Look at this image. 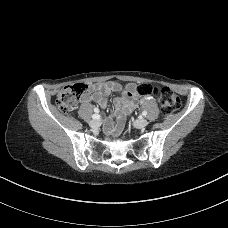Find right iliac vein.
<instances>
[{
  "label": "right iliac vein",
  "mask_w": 228,
  "mask_h": 228,
  "mask_svg": "<svg viewBox=\"0 0 228 228\" xmlns=\"http://www.w3.org/2000/svg\"><path fill=\"white\" fill-rule=\"evenodd\" d=\"M100 124H101L100 121L97 120V119L92 120V121L89 122V125H90L91 127H98V126H100Z\"/></svg>",
  "instance_id": "right-iliac-vein-1"
}]
</instances>
